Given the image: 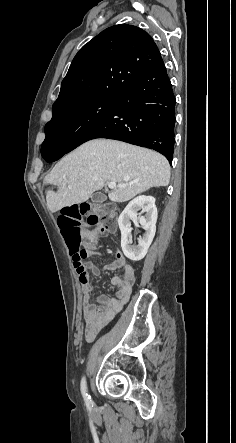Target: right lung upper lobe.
<instances>
[{"label":"right lung upper lobe","mask_w":236,"mask_h":443,"mask_svg":"<svg viewBox=\"0 0 236 443\" xmlns=\"http://www.w3.org/2000/svg\"><path fill=\"white\" fill-rule=\"evenodd\" d=\"M161 57L144 30L127 24L109 27L84 45L62 81L53 115L101 94H122Z\"/></svg>","instance_id":"obj_1"}]
</instances>
